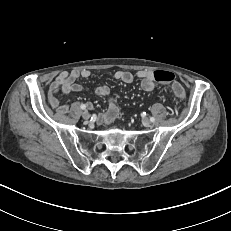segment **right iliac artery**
<instances>
[{
  "label": "right iliac artery",
  "instance_id": "82829eb1",
  "mask_svg": "<svg viewBox=\"0 0 231 231\" xmlns=\"http://www.w3.org/2000/svg\"><path fill=\"white\" fill-rule=\"evenodd\" d=\"M81 109H83V110L86 109V105H85V104H82V105H81Z\"/></svg>",
  "mask_w": 231,
  "mask_h": 231
}]
</instances>
